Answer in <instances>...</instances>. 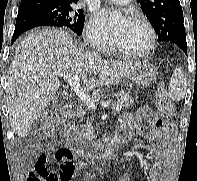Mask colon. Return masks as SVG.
Returning a JSON list of instances; mask_svg holds the SVG:
<instances>
[{
    "instance_id": "colon-1",
    "label": "colon",
    "mask_w": 197,
    "mask_h": 181,
    "mask_svg": "<svg viewBox=\"0 0 197 181\" xmlns=\"http://www.w3.org/2000/svg\"><path fill=\"white\" fill-rule=\"evenodd\" d=\"M157 108L160 115L169 122L174 121L176 118L174 104L164 89H160L157 93ZM55 127V121L51 117L46 116L42 123L36 127L35 133L40 137L47 136ZM30 158L33 170L28 181H70L74 173L73 153L69 149H60L56 152L55 158L59 163L57 172L47 170L46 158L41 152H32Z\"/></svg>"
}]
</instances>
